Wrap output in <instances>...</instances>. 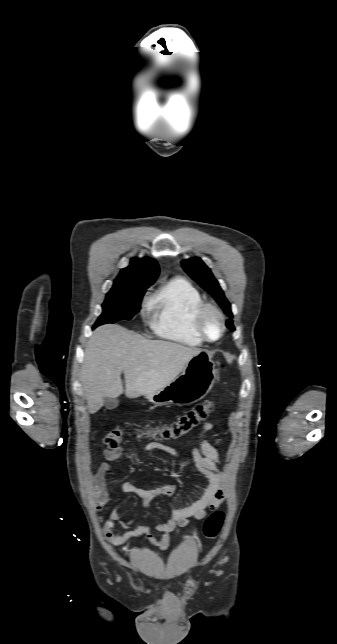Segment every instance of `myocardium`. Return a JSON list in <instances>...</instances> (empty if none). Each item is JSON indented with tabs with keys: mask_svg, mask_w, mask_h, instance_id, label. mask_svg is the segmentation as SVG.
<instances>
[{
	"mask_svg": "<svg viewBox=\"0 0 337 644\" xmlns=\"http://www.w3.org/2000/svg\"><path fill=\"white\" fill-rule=\"evenodd\" d=\"M210 313L214 314L219 322V334L215 339L209 338L204 330V320ZM193 326L203 341L213 343L220 340L225 332V318L217 305L210 302H202L195 312Z\"/></svg>",
	"mask_w": 337,
	"mask_h": 644,
	"instance_id": "obj_1",
	"label": "myocardium"
}]
</instances>
